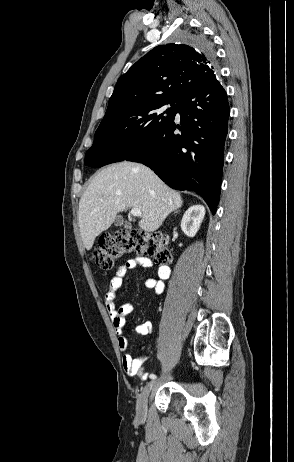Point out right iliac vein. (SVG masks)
I'll return each instance as SVG.
<instances>
[{
    "label": "right iliac vein",
    "instance_id": "1",
    "mask_svg": "<svg viewBox=\"0 0 294 462\" xmlns=\"http://www.w3.org/2000/svg\"><path fill=\"white\" fill-rule=\"evenodd\" d=\"M155 382H149L142 392L140 393L136 404V416L138 419L143 420L147 415V398L153 389Z\"/></svg>",
    "mask_w": 294,
    "mask_h": 462
}]
</instances>
